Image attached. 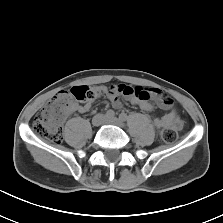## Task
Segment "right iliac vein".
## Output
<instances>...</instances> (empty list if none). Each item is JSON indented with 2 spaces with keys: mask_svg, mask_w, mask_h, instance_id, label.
<instances>
[{
  "mask_svg": "<svg viewBox=\"0 0 223 223\" xmlns=\"http://www.w3.org/2000/svg\"><path fill=\"white\" fill-rule=\"evenodd\" d=\"M106 117L103 114H97L92 119V125L98 127L104 123Z\"/></svg>",
  "mask_w": 223,
  "mask_h": 223,
  "instance_id": "1",
  "label": "right iliac vein"
}]
</instances>
